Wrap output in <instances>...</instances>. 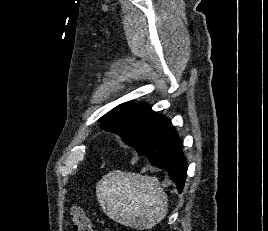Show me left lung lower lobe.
I'll return each mask as SVG.
<instances>
[{"label": "left lung lower lobe", "mask_w": 268, "mask_h": 231, "mask_svg": "<svg viewBox=\"0 0 268 231\" xmlns=\"http://www.w3.org/2000/svg\"><path fill=\"white\" fill-rule=\"evenodd\" d=\"M134 147L139 155L146 156L150 163L165 169L173 182L182 192L187 167L179 142V136L170 120L165 122L145 141L135 143Z\"/></svg>", "instance_id": "obj_1"}]
</instances>
